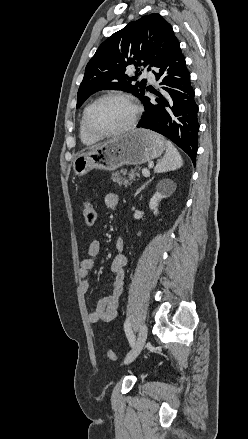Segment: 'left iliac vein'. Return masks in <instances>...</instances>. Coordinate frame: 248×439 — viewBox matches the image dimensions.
Masks as SVG:
<instances>
[{
	"label": "left iliac vein",
	"instance_id": "1",
	"mask_svg": "<svg viewBox=\"0 0 248 439\" xmlns=\"http://www.w3.org/2000/svg\"><path fill=\"white\" fill-rule=\"evenodd\" d=\"M146 338H147V326L145 324H143L139 329L137 339H136L132 349L128 352V354L124 358L125 365L131 363L132 361H134L137 358V356L140 354V352L142 351V349L144 347Z\"/></svg>",
	"mask_w": 248,
	"mask_h": 439
}]
</instances>
